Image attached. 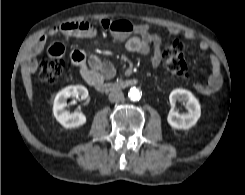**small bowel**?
Returning a JSON list of instances; mask_svg holds the SVG:
<instances>
[{
    "mask_svg": "<svg viewBox=\"0 0 245 195\" xmlns=\"http://www.w3.org/2000/svg\"><path fill=\"white\" fill-rule=\"evenodd\" d=\"M100 28L109 31L119 40H125V48L128 51L148 56L153 67H158L161 64L163 58L162 39L158 34L151 32L149 25L132 24L128 20L102 19L98 22H66L37 38L31 45L26 57L27 70L34 72L37 65V55L42 51L50 37L63 34L80 38H93ZM168 31L172 35L180 33V30L175 27L169 28ZM183 35L187 40H196V35L192 31H185ZM199 47L205 51L209 48V43L206 40H200ZM48 52L51 56H63L64 46L55 43L49 47ZM71 59L78 68L81 77L94 86L103 80L111 79L116 73L114 65L98 55H90L87 58L81 50H74L71 53ZM209 60L211 65L209 78L194 85L195 90L203 95H211L217 92L223 82L219 59L215 55H210Z\"/></svg>",
    "mask_w": 245,
    "mask_h": 195,
    "instance_id": "small-bowel-1",
    "label": "small bowel"
}]
</instances>
